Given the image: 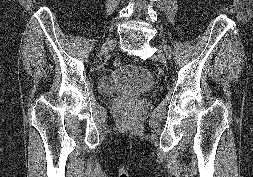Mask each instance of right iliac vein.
<instances>
[{
	"instance_id": "63e3f726",
	"label": "right iliac vein",
	"mask_w": 253,
	"mask_h": 177,
	"mask_svg": "<svg viewBox=\"0 0 253 177\" xmlns=\"http://www.w3.org/2000/svg\"><path fill=\"white\" fill-rule=\"evenodd\" d=\"M115 46V41L114 40H110L108 42H106L101 49V53L107 52L109 50H112Z\"/></svg>"
}]
</instances>
